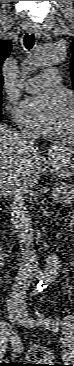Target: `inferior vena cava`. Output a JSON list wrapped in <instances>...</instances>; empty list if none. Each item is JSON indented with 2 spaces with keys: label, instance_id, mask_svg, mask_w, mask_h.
Segmentation results:
<instances>
[{
  "label": "inferior vena cava",
  "instance_id": "602c4592",
  "mask_svg": "<svg viewBox=\"0 0 74 366\" xmlns=\"http://www.w3.org/2000/svg\"><path fill=\"white\" fill-rule=\"evenodd\" d=\"M36 134L30 130L20 133V144L35 149ZM28 187L23 184H15L11 191L13 202L11 204V221L18 234L22 262L16 283L12 289V297H24L29 286L32 265L37 263L36 251L33 244V228L31 216L25 205V194Z\"/></svg>",
  "mask_w": 74,
  "mask_h": 366
}]
</instances>
